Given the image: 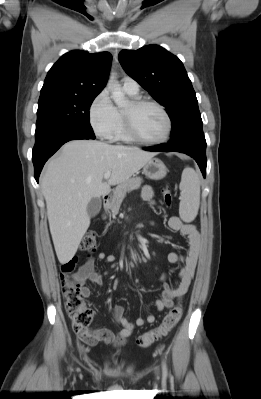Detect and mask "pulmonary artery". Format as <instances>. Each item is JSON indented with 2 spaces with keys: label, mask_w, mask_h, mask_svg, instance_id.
<instances>
[{
  "label": "pulmonary artery",
  "mask_w": 261,
  "mask_h": 399,
  "mask_svg": "<svg viewBox=\"0 0 261 399\" xmlns=\"http://www.w3.org/2000/svg\"><path fill=\"white\" fill-rule=\"evenodd\" d=\"M122 87L124 91L130 94H137L139 91V85L137 81L128 76L122 79Z\"/></svg>",
  "instance_id": "1"
}]
</instances>
